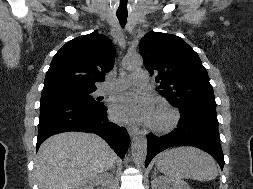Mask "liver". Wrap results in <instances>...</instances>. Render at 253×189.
I'll return each mask as SVG.
<instances>
[{"instance_id":"1","label":"liver","mask_w":253,"mask_h":189,"mask_svg":"<svg viewBox=\"0 0 253 189\" xmlns=\"http://www.w3.org/2000/svg\"><path fill=\"white\" fill-rule=\"evenodd\" d=\"M116 154L99 136L67 132L42 143L35 162L39 189H75L82 181L109 170Z\"/></svg>"}]
</instances>
